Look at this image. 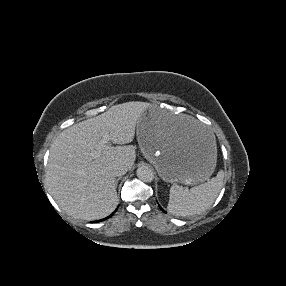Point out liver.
Masks as SVG:
<instances>
[{
	"instance_id": "6515ba94",
	"label": "liver",
	"mask_w": 286,
	"mask_h": 286,
	"mask_svg": "<svg viewBox=\"0 0 286 286\" xmlns=\"http://www.w3.org/2000/svg\"><path fill=\"white\" fill-rule=\"evenodd\" d=\"M150 107L149 103L137 101L118 104L72 125L56 137L50 148L46 181L50 194L63 211L74 218L91 221L115 210L117 185L111 167L122 163L129 170L134 165L136 150L127 144L134 140L138 120ZM161 114L182 136L196 133L210 136L190 116ZM104 132L118 145L107 144L100 156L93 159L90 154L99 150Z\"/></svg>"
}]
</instances>
